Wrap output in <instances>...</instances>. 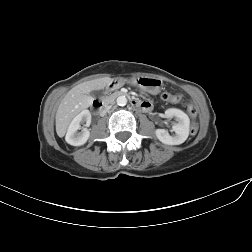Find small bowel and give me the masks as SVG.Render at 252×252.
Returning <instances> with one entry per match:
<instances>
[{
	"mask_svg": "<svg viewBox=\"0 0 252 252\" xmlns=\"http://www.w3.org/2000/svg\"><path fill=\"white\" fill-rule=\"evenodd\" d=\"M151 106H152V104H151V102H149V101H143V102H142V110H143V111H148V110H150Z\"/></svg>",
	"mask_w": 252,
	"mask_h": 252,
	"instance_id": "c3829d8e",
	"label": "small bowel"
}]
</instances>
